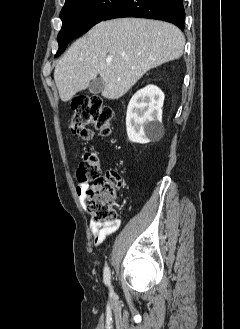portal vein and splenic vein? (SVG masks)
I'll use <instances>...</instances> for the list:
<instances>
[{"instance_id":"1","label":"portal vein and splenic vein","mask_w":240,"mask_h":329,"mask_svg":"<svg viewBox=\"0 0 240 329\" xmlns=\"http://www.w3.org/2000/svg\"><path fill=\"white\" fill-rule=\"evenodd\" d=\"M107 63H111V59H107Z\"/></svg>"}]
</instances>
